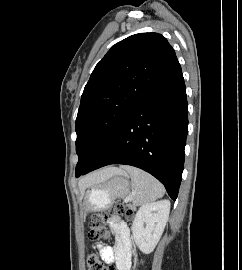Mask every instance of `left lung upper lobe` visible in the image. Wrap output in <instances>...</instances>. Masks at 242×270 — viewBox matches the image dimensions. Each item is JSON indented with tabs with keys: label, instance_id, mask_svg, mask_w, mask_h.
I'll use <instances>...</instances> for the list:
<instances>
[{
	"label": "left lung upper lobe",
	"instance_id": "1",
	"mask_svg": "<svg viewBox=\"0 0 242 270\" xmlns=\"http://www.w3.org/2000/svg\"><path fill=\"white\" fill-rule=\"evenodd\" d=\"M177 60L167 39L139 33L116 43L94 68L76 118V176L84 173L125 119Z\"/></svg>",
	"mask_w": 242,
	"mask_h": 270
}]
</instances>
